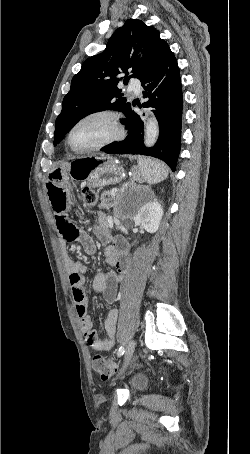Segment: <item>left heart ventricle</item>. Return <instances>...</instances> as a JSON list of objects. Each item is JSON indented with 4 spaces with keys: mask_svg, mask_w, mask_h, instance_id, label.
Segmentation results:
<instances>
[{
    "mask_svg": "<svg viewBox=\"0 0 250 454\" xmlns=\"http://www.w3.org/2000/svg\"><path fill=\"white\" fill-rule=\"evenodd\" d=\"M111 134L112 126L106 118H94L75 129L71 144L78 149L86 148L106 139Z\"/></svg>",
    "mask_w": 250,
    "mask_h": 454,
    "instance_id": "obj_1",
    "label": "left heart ventricle"
}]
</instances>
